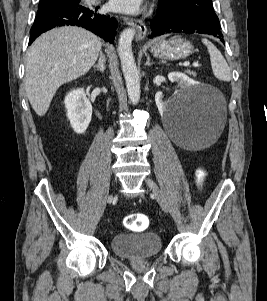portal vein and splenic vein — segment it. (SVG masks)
I'll return each instance as SVG.
<instances>
[{
    "instance_id": "18ae733b",
    "label": "portal vein and splenic vein",
    "mask_w": 267,
    "mask_h": 301,
    "mask_svg": "<svg viewBox=\"0 0 267 301\" xmlns=\"http://www.w3.org/2000/svg\"><path fill=\"white\" fill-rule=\"evenodd\" d=\"M192 65H193V67H199V66H200V65H199L198 63H196V62L193 63ZM185 66H189V64H185Z\"/></svg>"
}]
</instances>
